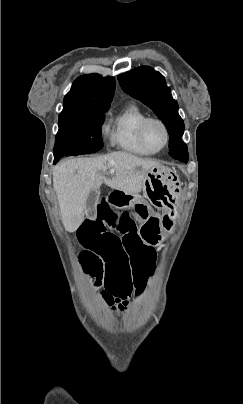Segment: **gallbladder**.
<instances>
[{
    "label": "gallbladder",
    "instance_id": "obj_1",
    "mask_svg": "<svg viewBox=\"0 0 243 404\" xmlns=\"http://www.w3.org/2000/svg\"><path fill=\"white\" fill-rule=\"evenodd\" d=\"M99 196H100V192H98V190H92V192H89V194H88V198L86 200L85 211H86L87 217L89 219H94L93 217L95 216L94 213L96 210L97 202L99 200Z\"/></svg>",
    "mask_w": 243,
    "mask_h": 404
}]
</instances>
